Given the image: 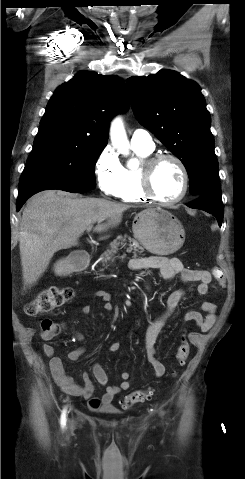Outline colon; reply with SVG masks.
<instances>
[{
    "instance_id": "5ec220e1",
    "label": "colon",
    "mask_w": 245,
    "mask_h": 479,
    "mask_svg": "<svg viewBox=\"0 0 245 479\" xmlns=\"http://www.w3.org/2000/svg\"><path fill=\"white\" fill-rule=\"evenodd\" d=\"M218 279H221V272L218 269L213 270ZM74 297V291L70 287L51 286L42 289L37 296L28 302L24 311L29 316H38L47 314L56 309L65 306ZM59 333V325L52 319H44L41 322V335L43 338L50 339ZM190 353V344L183 336L177 348L175 359L178 364L183 365ZM150 390H137L124 397L122 405L129 408L139 402H143L152 397Z\"/></svg>"
}]
</instances>
